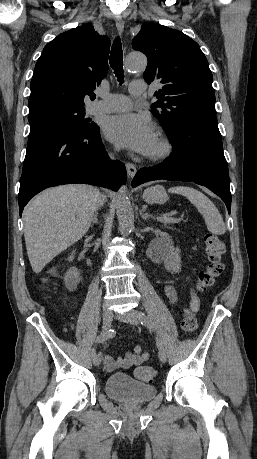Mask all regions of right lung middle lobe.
<instances>
[{
    "instance_id": "obj_1",
    "label": "right lung middle lobe",
    "mask_w": 257,
    "mask_h": 459,
    "mask_svg": "<svg viewBox=\"0 0 257 459\" xmlns=\"http://www.w3.org/2000/svg\"><path fill=\"white\" fill-rule=\"evenodd\" d=\"M84 107L56 106L29 112V123L46 122L68 130L86 131L97 125L85 119Z\"/></svg>"
}]
</instances>
